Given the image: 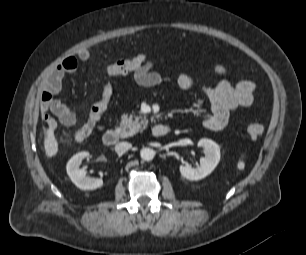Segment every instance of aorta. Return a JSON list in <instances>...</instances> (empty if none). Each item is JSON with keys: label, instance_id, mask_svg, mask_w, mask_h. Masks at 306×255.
Wrapping results in <instances>:
<instances>
[{"label": "aorta", "instance_id": "obj_1", "mask_svg": "<svg viewBox=\"0 0 306 255\" xmlns=\"http://www.w3.org/2000/svg\"><path fill=\"white\" fill-rule=\"evenodd\" d=\"M140 156H141L142 160H144V161H151L155 156V152H154L153 149L143 148L140 151Z\"/></svg>", "mask_w": 306, "mask_h": 255}]
</instances>
